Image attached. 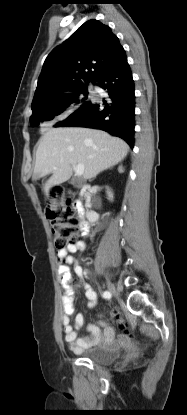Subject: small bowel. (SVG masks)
Listing matches in <instances>:
<instances>
[{
    "instance_id": "small-bowel-1",
    "label": "small bowel",
    "mask_w": 187,
    "mask_h": 415,
    "mask_svg": "<svg viewBox=\"0 0 187 415\" xmlns=\"http://www.w3.org/2000/svg\"><path fill=\"white\" fill-rule=\"evenodd\" d=\"M84 248L85 243L79 241L57 251V258L61 261L58 267L59 280L64 289L62 298L64 337L69 348L76 353L111 346L124 339V337L116 339L113 328L104 321H99L98 324H90L88 326L89 335L78 338L76 330L80 329L85 322V317L82 313H78L75 316L73 325L71 324L70 315L74 312L75 288L71 284L73 278L69 265L74 263V259L70 253L83 250ZM74 272L80 278V283L85 290L88 306L93 307L96 304L97 296L92 286L84 280L85 272L83 268L75 264Z\"/></svg>"
}]
</instances>
